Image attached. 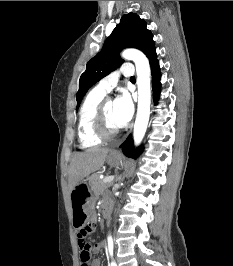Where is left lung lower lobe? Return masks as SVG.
Masks as SVG:
<instances>
[{
	"mask_svg": "<svg viewBox=\"0 0 233 266\" xmlns=\"http://www.w3.org/2000/svg\"><path fill=\"white\" fill-rule=\"evenodd\" d=\"M146 56L148 57L150 61V66L152 70V88H153V99L154 101H157L159 98V92H160V68H159V62L157 60L156 55V48L154 47L151 51H149ZM122 151L126 156H130L133 151V140L132 135H129V137L125 140V142L121 145ZM140 149L137 150L134 153V157H136L140 153Z\"/></svg>",
	"mask_w": 233,
	"mask_h": 266,
	"instance_id": "0a47b994",
	"label": "left lung lower lobe"
}]
</instances>
